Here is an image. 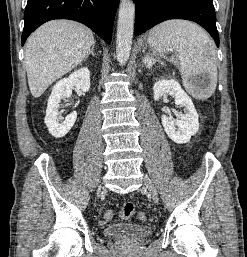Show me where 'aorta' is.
<instances>
[{"label":"aorta","mask_w":247,"mask_h":257,"mask_svg":"<svg viewBox=\"0 0 247 257\" xmlns=\"http://www.w3.org/2000/svg\"><path fill=\"white\" fill-rule=\"evenodd\" d=\"M135 5L132 0H121L119 5L116 58L120 65H125L129 59L134 32Z\"/></svg>","instance_id":"obj_1"}]
</instances>
